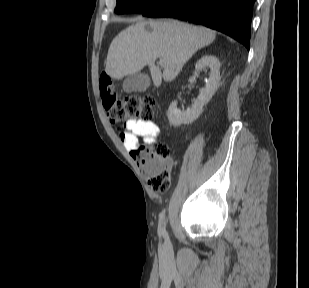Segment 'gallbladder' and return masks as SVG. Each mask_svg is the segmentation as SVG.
<instances>
[{
	"label": "gallbladder",
	"instance_id": "obj_1",
	"mask_svg": "<svg viewBox=\"0 0 309 288\" xmlns=\"http://www.w3.org/2000/svg\"><path fill=\"white\" fill-rule=\"evenodd\" d=\"M125 92H143L150 86V78L146 74L135 73L127 76L123 81Z\"/></svg>",
	"mask_w": 309,
	"mask_h": 288
}]
</instances>
